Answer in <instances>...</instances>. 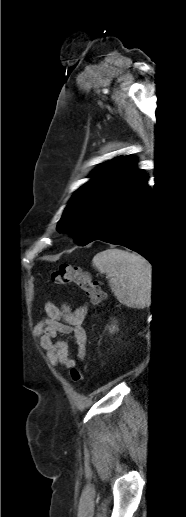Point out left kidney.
<instances>
[{"label":"left kidney","instance_id":"left-kidney-1","mask_svg":"<svg viewBox=\"0 0 186 517\" xmlns=\"http://www.w3.org/2000/svg\"><path fill=\"white\" fill-rule=\"evenodd\" d=\"M116 330H117V328H116L115 326H112V328H110V331H111V332H114V331H116Z\"/></svg>","mask_w":186,"mask_h":517}]
</instances>
